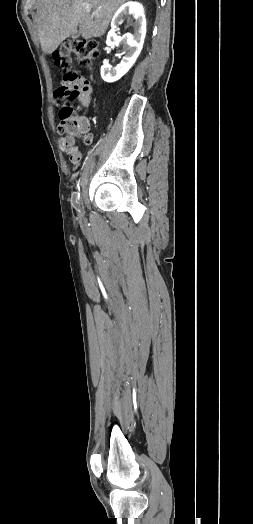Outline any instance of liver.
<instances>
[{
  "mask_svg": "<svg viewBox=\"0 0 253 524\" xmlns=\"http://www.w3.org/2000/svg\"><path fill=\"white\" fill-rule=\"evenodd\" d=\"M125 2L127 0H38L35 21L42 51L51 54L77 28L86 40L101 37L116 10ZM85 5H90V12L84 9Z\"/></svg>",
  "mask_w": 253,
  "mask_h": 524,
  "instance_id": "liver-1",
  "label": "liver"
}]
</instances>
